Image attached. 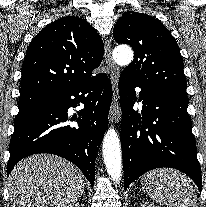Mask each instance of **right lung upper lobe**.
<instances>
[{
	"mask_svg": "<svg viewBox=\"0 0 206 207\" xmlns=\"http://www.w3.org/2000/svg\"><path fill=\"white\" fill-rule=\"evenodd\" d=\"M103 58V42L84 19L62 17L31 41L22 65L21 97L49 94L94 76ZM98 75V74H97Z\"/></svg>",
	"mask_w": 206,
	"mask_h": 207,
	"instance_id": "obj_1",
	"label": "right lung upper lobe"
}]
</instances>
